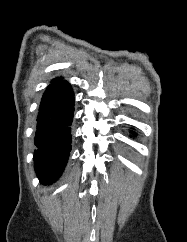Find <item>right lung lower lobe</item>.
Returning a JSON list of instances; mask_svg holds the SVG:
<instances>
[{"label": "right lung lower lobe", "mask_w": 187, "mask_h": 242, "mask_svg": "<svg viewBox=\"0 0 187 242\" xmlns=\"http://www.w3.org/2000/svg\"><path fill=\"white\" fill-rule=\"evenodd\" d=\"M74 93L70 84L55 79L43 94L37 117L34 167L43 184L55 182L71 150Z\"/></svg>", "instance_id": "right-lung-lower-lobe-1"}]
</instances>
